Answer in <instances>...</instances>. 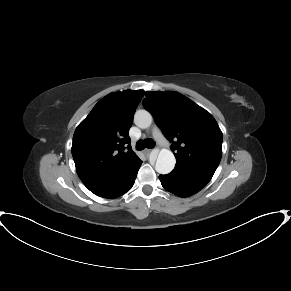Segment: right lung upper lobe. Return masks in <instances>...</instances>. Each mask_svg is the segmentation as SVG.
I'll use <instances>...</instances> for the list:
<instances>
[{"instance_id":"1","label":"right lung upper lobe","mask_w":291,"mask_h":291,"mask_svg":"<svg viewBox=\"0 0 291 291\" xmlns=\"http://www.w3.org/2000/svg\"><path fill=\"white\" fill-rule=\"evenodd\" d=\"M143 96V90L110 93L76 128L71 151L77 174L90 191L116 185L140 161L129 129Z\"/></svg>"}]
</instances>
